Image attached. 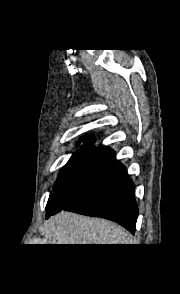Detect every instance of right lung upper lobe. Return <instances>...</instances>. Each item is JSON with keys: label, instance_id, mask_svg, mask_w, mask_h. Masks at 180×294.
Masks as SVG:
<instances>
[{"label": "right lung upper lobe", "instance_id": "cb5924a9", "mask_svg": "<svg viewBox=\"0 0 180 294\" xmlns=\"http://www.w3.org/2000/svg\"><path fill=\"white\" fill-rule=\"evenodd\" d=\"M80 141H83L84 144H91L95 142V139L91 136H87V137L80 138Z\"/></svg>", "mask_w": 180, "mask_h": 294}]
</instances>
